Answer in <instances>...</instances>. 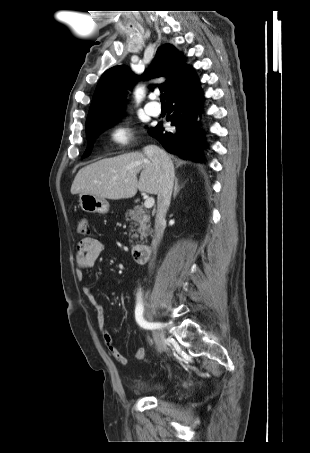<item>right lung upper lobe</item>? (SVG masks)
<instances>
[{
    "label": "right lung upper lobe",
    "mask_w": 310,
    "mask_h": 453,
    "mask_svg": "<svg viewBox=\"0 0 310 453\" xmlns=\"http://www.w3.org/2000/svg\"><path fill=\"white\" fill-rule=\"evenodd\" d=\"M192 71L183 61V56L172 45L160 47L151 68L142 75L143 79L165 77L160 84L166 98L172 90ZM134 75L125 65L108 69L100 78L95 90L86 120V129L116 120L123 108L124 97L136 81Z\"/></svg>",
    "instance_id": "right-lung-upper-lobe-1"
}]
</instances>
